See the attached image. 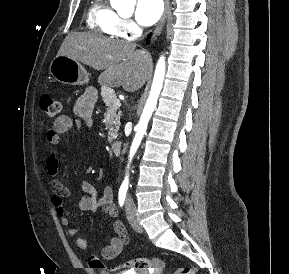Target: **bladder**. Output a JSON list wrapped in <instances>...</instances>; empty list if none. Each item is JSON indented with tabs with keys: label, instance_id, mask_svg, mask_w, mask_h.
Listing matches in <instances>:
<instances>
[{
	"label": "bladder",
	"instance_id": "obj_1",
	"mask_svg": "<svg viewBox=\"0 0 289 274\" xmlns=\"http://www.w3.org/2000/svg\"><path fill=\"white\" fill-rule=\"evenodd\" d=\"M118 274H147L145 271H126Z\"/></svg>",
	"mask_w": 289,
	"mask_h": 274
}]
</instances>
